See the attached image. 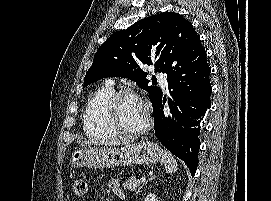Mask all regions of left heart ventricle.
<instances>
[{"mask_svg":"<svg viewBox=\"0 0 271 201\" xmlns=\"http://www.w3.org/2000/svg\"><path fill=\"white\" fill-rule=\"evenodd\" d=\"M116 116L123 127L134 130L144 124L146 112L143 104L139 100L123 98L117 104Z\"/></svg>","mask_w":271,"mask_h":201,"instance_id":"b2bd125f","label":"left heart ventricle"}]
</instances>
